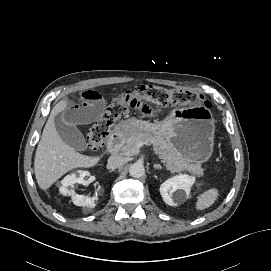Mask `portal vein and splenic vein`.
<instances>
[{"label": "portal vein and splenic vein", "mask_w": 271, "mask_h": 271, "mask_svg": "<svg viewBox=\"0 0 271 271\" xmlns=\"http://www.w3.org/2000/svg\"><path fill=\"white\" fill-rule=\"evenodd\" d=\"M142 145H143V143H139V144H138V148H140Z\"/></svg>", "instance_id": "18ae733b"}]
</instances>
